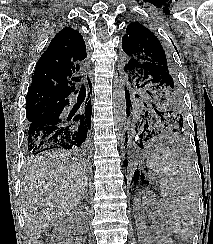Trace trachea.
Returning a JSON list of instances; mask_svg holds the SVG:
<instances>
[{"label":"trachea","instance_id":"trachea-1","mask_svg":"<svg viewBox=\"0 0 213 244\" xmlns=\"http://www.w3.org/2000/svg\"><path fill=\"white\" fill-rule=\"evenodd\" d=\"M75 81H79L77 78L74 79ZM80 92L84 93L85 92V87L82 86Z\"/></svg>","mask_w":213,"mask_h":244}]
</instances>
